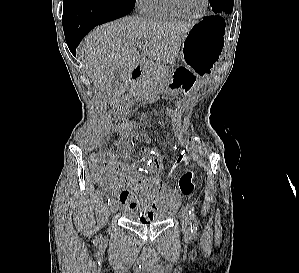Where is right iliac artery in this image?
I'll return each instance as SVG.
<instances>
[{
  "label": "right iliac artery",
  "instance_id": "obj_1",
  "mask_svg": "<svg viewBox=\"0 0 299 273\" xmlns=\"http://www.w3.org/2000/svg\"><path fill=\"white\" fill-rule=\"evenodd\" d=\"M114 201L113 197L108 198V204L111 205V203Z\"/></svg>",
  "mask_w": 299,
  "mask_h": 273
}]
</instances>
